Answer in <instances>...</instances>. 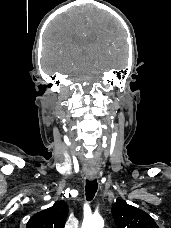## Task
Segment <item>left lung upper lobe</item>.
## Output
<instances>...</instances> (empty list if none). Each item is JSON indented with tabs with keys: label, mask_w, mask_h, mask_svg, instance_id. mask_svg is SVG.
Listing matches in <instances>:
<instances>
[{
	"label": "left lung upper lobe",
	"mask_w": 171,
	"mask_h": 228,
	"mask_svg": "<svg viewBox=\"0 0 171 228\" xmlns=\"http://www.w3.org/2000/svg\"><path fill=\"white\" fill-rule=\"evenodd\" d=\"M112 214L118 228H159L149 214L123 200L113 205Z\"/></svg>",
	"instance_id": "obj_1"
}]
</instances>
